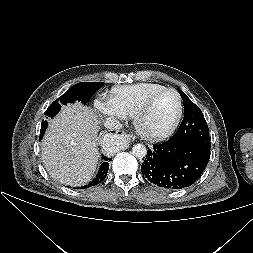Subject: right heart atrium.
<instances>
[{
    "instance_id": "right-heart-atrium-1",
    "label": "right heart atrium",
    "mask_w": 253,
    "mask_h": 253,
    "mask_svg": "<svg viewBox=\"0 0 253 253\" xmlns=\"http://www.w3.org/2000/svg\"><path fill=\"white\" fill-rule=\"evenodd\" d=\"M94 106L96 108V110L104 116H111V117H122L118 111L115 109V107L113 106V104L111 103V101L109 99H97L94 102Z\"/></svg>"
}]
</instances>
